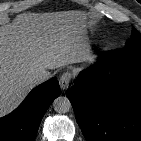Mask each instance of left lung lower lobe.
<instances>
[{"label": "left lung lower lobe", "mask_w": 141, "mask_h": 141, "mask_svg": "<svg viewBox=\"0 0 141 141\" xmlns=\"http://www.w3.org/2000/svg\"><path fill=\"white\" fill-rule=\"evenodd\" d=\"M101 65L81 72L67 90L87 141H141V46L101 54Z\"/></svg>", "instance_id": "0a47b994"}]
</instances>
